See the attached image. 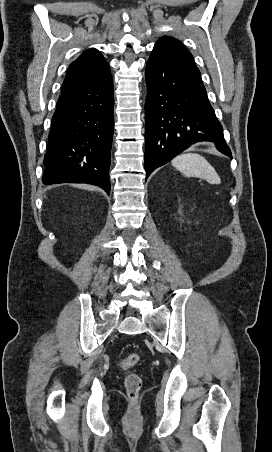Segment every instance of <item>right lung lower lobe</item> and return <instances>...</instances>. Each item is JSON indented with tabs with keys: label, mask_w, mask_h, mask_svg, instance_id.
<instances>
[{
	"label": "right lung lower lobe",
	"mask_w": 272,
	"mask_h": 452,
	"mask_svg": "<svg viewBox=\"0 0 272 452\" xmlns=\"http://www.w3.org/2000/svg\"><path fill=\"white\" fill-rule=\"evenodd\" d=\"M113 108L112 76L60 96L44 158L43 184L88 183L110 194Z\"/></svg>",
	"instance_id": "obj_1"
}]
</instances>
